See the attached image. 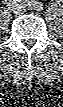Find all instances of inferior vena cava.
I'll list each match as a JSON object with an SVG mask.
<instances>
[{
	"instance_id": "obj_1",
	"label": "inferior vena cava",
	"mask_w": 63,
	"mask_h": 107,
	"mask_svg": "<svg viewBox=\"0 0 63 107\" xmlns=\"http://www.w3.org/2000/svg\"><path fill=\"white\" fill-rule=\"evenodd\" d=\"M20 9H17L18 11H24L25 9L23 7H19Z\"/></svg>"
}]
</instances>
